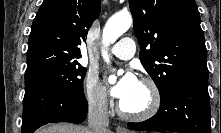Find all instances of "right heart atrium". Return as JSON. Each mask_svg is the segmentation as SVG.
I'll return each mask as SVG.
<instances>
[{
    "mask_svg": "<svg viewBox=\"0 0 221 133\" xmlns=\"http://www.w3.org/2000/svg\"><path fill=\"white\" fill-rule=\"evenodd\" d=\"M84 93L90 109L99 113H104L108 110L110 101L95 72H88L86 75Z\"/></svg>",
    "mask_w": 221,
    "mask_h": 133,
    "instance_id": "right-heart-atrium-1",
    "label": "right heart atrium"
}]
</instances>
